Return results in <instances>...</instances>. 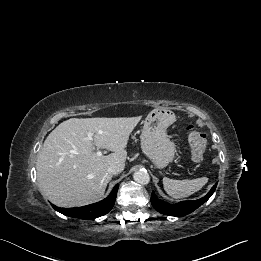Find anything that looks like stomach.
Returning <instances> with one entry per match:
<instances>
[{"label": "stomach", "mask_w": 261, "mask_h": 261, "mask_svg": "<svg viewBox=\"0 0 261 261\" xmlns=\"http://www.w3.org/2000/svg\"><path fill=\"white\" fill-rule=\"evenodd\" d=\"M174 121L175 114L165 108L152 110L144 121L141 148L157 168L166 167L175 156V145L167 135V128Z\"/></svg>", "instance_id": "stomach-1"}]
</instances>
